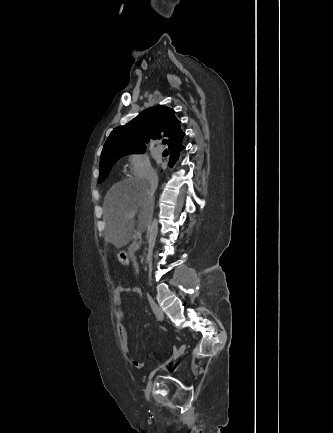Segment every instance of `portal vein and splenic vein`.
<instances>
[{
    "label": "portal vein and splenic vein",
    "mask_w": 333,
    "mask_h": 433,
    "mask_svg": "<svg viewBox=\"0 0 333 433\" xmlns=\"http://www.w3.org/2000/svg\"><path fill=\"white\" fill-rule=\"evenodd\" d=\"M135 217V213H130V214H128L127 216H126V219L127 220H131V219H133ZM137 234V239H141V232H137L136 233ZM138 245V241L137 240H135L134 242H133V246H137Z\"/></svg>",
    "instance_id": "obj_1"
}]
</instances>
